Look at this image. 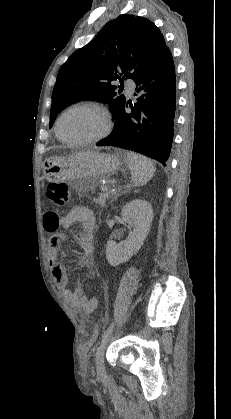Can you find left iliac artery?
<instances>
[{
    "mask_svg": "<svg viewBox=\"0 0 231 419\" xmlns=\"http://www.w3.org/2000/svg\"><path fill=\"white\" fill-rule=\"evenodd\" d=\"M114 328V323H112L107 330L104 332L103 336H102V342L111 334L112 330Z\"/></svg>",
    "mask_w": 231,
    "mask_h": 419,
    "instance_id": "left-iliac-artery-1",
    "label": "left iliac artery"
}]
</instances>
